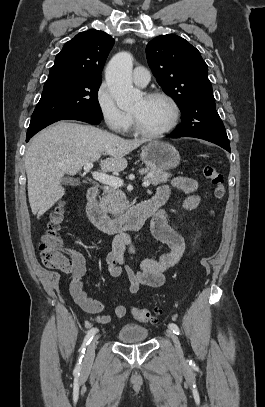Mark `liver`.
<instances>
[{
    "mask_svg": "<svg viewBox=\"0 0 265 407\" xmlns=\"http://www.w3.org/2000/svg\"><path fill=\"white\" fill-rule=\"evenodd\" d=\"M146 140L123 139L91 125L58 122L35 135L25 154L29 203L39 219L65 194V174L75 175L84 165L100 161L103 172H120L127 167L125 155Z\"/></svg>",
    "mask_w": 265,
    "mask_h": 407,
    "instance_id": "6515ba94",
    "label": "liver"
}]
</instances>
